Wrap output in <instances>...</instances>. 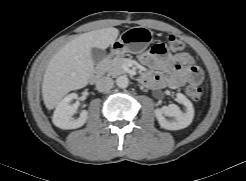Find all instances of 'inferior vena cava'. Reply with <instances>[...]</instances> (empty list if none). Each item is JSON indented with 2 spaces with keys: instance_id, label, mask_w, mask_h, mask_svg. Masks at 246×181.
Masks as SVG:
<instances>
[{
  "instance_id": "inferior-vena-cava-1",
  "label": "inferior vena cava",
  "mask_w": 246,
  "mask_h": 181,
  "mask_svg": "<svg viewBox=\"0 0 246 181\" xmlns=\"http://www.w3.org/2000/svg\"><path fill=\"white\" fill-rule=\"evenodd\" d=\"M114 81L110 77H101L96 82V89L100 92L108 91L113 88Z\"/></svg>"
}]
</instances>
